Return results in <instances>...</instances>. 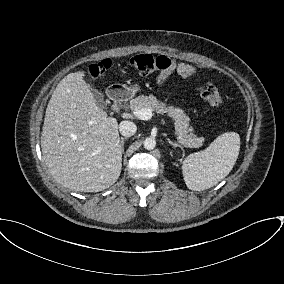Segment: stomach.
<instances>
[{"label": "stomach", "mask_w": 284, "mask_h": 284, "mask_svg": "<svg viewBox=\"0 0 284 284\" xmlns=\"http://www.w3.org/2000/svg\"><path fill=\"white\" fill-rule=\"evenodd\" d=\"M114 87H120L119 84H115ZM129 93L134 94L138 91H140V86L138 84H133L129 87L123 86Z\"/></svg>", "instance_id": "0dacf381"}]
</instances>
